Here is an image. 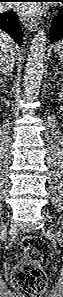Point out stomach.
<instances>
[{
    "label": "stomach",
    "instance_id": "0dacf381",
    "mask_svg": "<svg viewBox=\"0 0 63 297\" xmlns=\"http://www.w3.org/2000/svg\"><path fill=\"white\" fill-rule=\"evenodd\" d=\"M54 53L56 57H58L60 60H63V42H59L55 45Z\"/></svg>",
    "mask_w": 63,
    "mask_h": 297
}]
</instances>
